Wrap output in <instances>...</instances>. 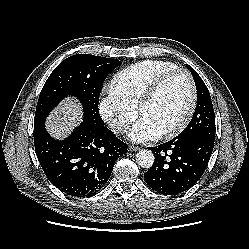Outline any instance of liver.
<instances>
[{"instance_id":"6515ba94","label":"liver","mask_w":249,"mask_h":249,"mask_svg":"<svg viewBox=\"0 0 249 249\" xmlns=\"http://www.w3.org/2000/svg\"><path fill=\"white\" fill-rule=\"evenodd\" d=\"M82 120V108L77 101L67 99L48 118L47 128L57 139L65 137Z\"/></svg>"}]
</instances>
